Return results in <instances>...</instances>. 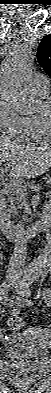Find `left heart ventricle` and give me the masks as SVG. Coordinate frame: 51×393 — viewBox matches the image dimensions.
I'll return each instance as SVG.
<instances>
[{
  "mask_svg": "<svg viewBox=\"0 0 51 393\" xmlns=\"http://www.w3.org/2000/svg\"><path fill=\"white\" fill-rule=\"evenodd\" d=\"M43 112V107L40 108L39 112L37 115L41 114Z\"/></svg>",
  "mask_w": 51,
  "mask_h": 393,
  "instance_id": "left-heart-ventricle-1",
  "label": "left heart ventricle"
}]
</instances>
